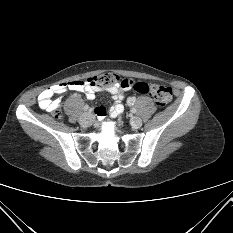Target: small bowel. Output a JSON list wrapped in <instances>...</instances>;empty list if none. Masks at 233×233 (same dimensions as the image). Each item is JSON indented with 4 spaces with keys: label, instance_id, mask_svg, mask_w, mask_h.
<instances>
[{
    "label": "small bowel",
    "instance_id": "1",
    "mask_svg": "<svg viewBox=\"0 0 233 233\" xmlns=\"http://www.w3.org/2000/svg\"><path fill=\"white\" fill-rule=\"evenodd\" d=\"M101 87V85L98 86V84L90 78L86 81L77 80L57 84L43 90L39 94L38 105L40 108L46 111H55L61 104L60 100L55 98V96L60 95L67 90H73L83 92L88 100H93L95 98V94L104 89ZM106 90L112 95L114 104H112L108 109H106L104 106H99L96 108L95 112H93V117H97L99 120H103L107 114H109L112 118H117L123 113L124 110L122 100L124 99L125 91L127 90L119 86L108 87ZM135 100L136 98L134 96H130L127 103L129 105H133ZM93 127H98V122H93ZM96 133H98V136H103V131H101V128H96Z\"/></svg>",
    "mask_w": 233,
    "mask_h": 233
}]
</instances>
